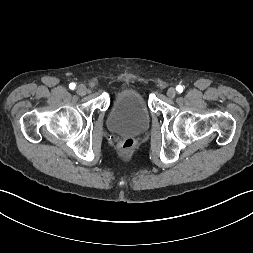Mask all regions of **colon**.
<instances>
[{"mask_svg": "<svg viewBox=\"0 0 253 253\" xmlns=\"http://www.w3.org/2000/svg\"><path fill=\"white\" fill-rule=\"evenodd\" d=\"M135 147V140L132 138L124 139L120 142L119 148L122 153L127 154L130 153Z\"/></svg>", "mask_w": 253, "mask_h": 253, "instance_id": "obj_1", "label": "colon"}]
</instances>
